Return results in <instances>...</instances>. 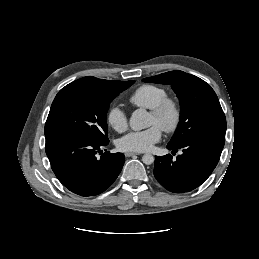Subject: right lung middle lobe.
Wrapping results in <instances>:
<instances>
[{
    "label": "right lung middle lobe",
    "instance_id": "dd1d6c3e",
    "mask_svg": "<svg viewBox=\"0 0 259 259\" xmlns=\"http://www.w3.org/2000/svg\"><path fill=\"white\" fill-rule=\"evenodd\" d=\"M132 81H116L107 91H98L70 83L56 95L45 124L46 140L61 137H82L99 142L109 141L106 114L111 101L129 88Z\"/></svg>",
    "mask_w": 259,
    "mask_h": 259
}]
</instances>
